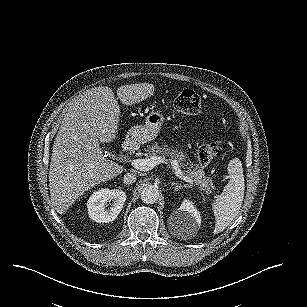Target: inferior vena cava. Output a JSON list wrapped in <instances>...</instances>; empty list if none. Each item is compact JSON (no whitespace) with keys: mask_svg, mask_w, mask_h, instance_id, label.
I'll use <instances>...</instances> for the list:
<instances>
[{"mask_svg":"<svg viewBox=\"0 0 307 307\" xmlns=\"http://www.w3.org/2000/svg\"><path fill=\"white\" fill-rule=\"evenodd\" d=\"M137 180V177L135 174H132V173H126L124 175V183L127 184V185H130V184H133L135 183Z\"/></svg>","mask_w":307,"mask_h":307,"instance_id":"1","label":"inferior vena cava"}]
</instances>
